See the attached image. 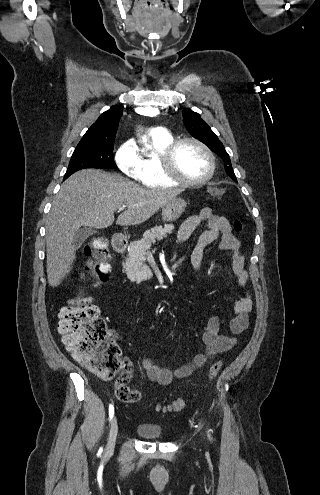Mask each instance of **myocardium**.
<instances>
[{
	"instance_id": "1",
	"label": "myocardium",
	"mask_w": 320,
	"mask_h": 495,
	"mask_svg": "<svg viewBox=\"0 0 320 495\" xmlns=\"http://www.w3.org/2000/svg\"><path fill=\"white\" fill-rule=\"evenodd\" d=\"M185 143H193L198 146L206 155L209 161V170L206 176L200 179H186L180 175L176 167V153ZM161 165L164 174L172 181L183 186H198L209 182L216 171V160L213 152L200 140L193 137L179 138L171 142L161 154Z\"/></svg>"
}]
</instances>
